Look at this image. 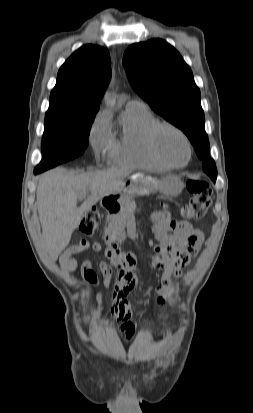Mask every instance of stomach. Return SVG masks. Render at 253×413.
I'll list each match as a JSON object with an SVG mask.
<instances>
[{
    "instance_id": "1",
    "label": "stomach",
    "mask_w": 253,
    "mask_h": 413,
    "mask_svg": "<svg viewBox=\"0 0 253 413\" xmlns=\"http://www.w3.org/2000/svg\"><path fill=\"white\" fill-rule=\"evenodd\" d=\"M183 188L184 184L177 176H166L159 180L138 172L129 176L118 191L104 197L103 203H112L114 207L122 206L135 196H147L157 192L174 197L179 195Z\"/></svg>"
}]
</instances>
